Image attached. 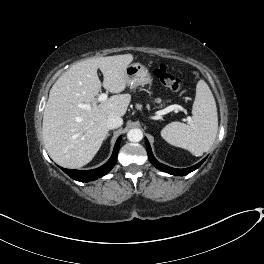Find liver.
Returning <instances> with one entry per match:
<instances>
[{
  "instance_id": "liver-1",
  "label": "liver",
  "mask_w": 264,
  "mask_h": 264,
  "mask_svg": "<svg viewBox=\"0 0 264 264\" xmlns=\"http://www.w3.org/2000/svg\"><path fill=\"white\" fill-rule=\"evenodd\" d=\"M133 58L132 54L89 58L71 66L54 83L44 109L42 132L45 148L57 164L80 168L99 151L108 134V118L123 116L131 101L130 94L119 93L126 88V69ZM101 86L116 95L98 104Z\"/></svg>"
}]
</instances>
